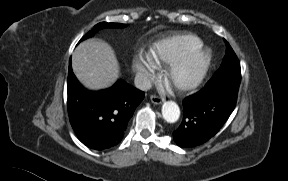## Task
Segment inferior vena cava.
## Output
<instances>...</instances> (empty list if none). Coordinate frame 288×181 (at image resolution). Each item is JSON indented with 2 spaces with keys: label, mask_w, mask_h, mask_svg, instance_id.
Returning <instances> with one entry per match:
<instances>
[{
  "label": "inferior vena cava",
  "mask_w": 288,
  "mask_h": 181,
  "mask_svg": "<svg viewBox=\"0 0 288 181\" xmlns=\"http://www.w3.org/2000/svg\"><path fill=\"white\" fill-rule=\"evenodd\" d=\"M134 84L136 88L142 91H147L152 87L150 79L144 74L136 75Z\"/></svg>",
  "instance_id": "obj_1"
}]
</instances>
